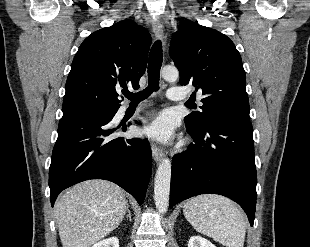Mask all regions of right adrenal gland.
<instances>
[{
	"instance_id": "1",
	"label": "right adrenal gland",
	"mask_w": 310,
	"mask_h": 247,
	"mask_svg": "<svg viewBox=\"0 0 310 247\" xmlns=\"http://www.w3.org/2000/svg\"><path fill=\"white\" fill-rule=\"evenodd\" d=\"M127 218H129V220L131 221V212L129 210V206L127 207Z\"/></svg>"
}]
</instances>
